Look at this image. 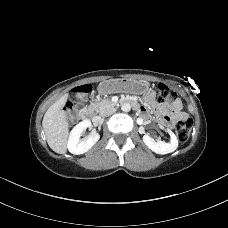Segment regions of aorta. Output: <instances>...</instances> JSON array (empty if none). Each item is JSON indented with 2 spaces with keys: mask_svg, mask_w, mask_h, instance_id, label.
<instances>
[{
  "mask_svg": "<svg viewBox=\"0 0 228 228\" xmlns=\"http://www.w3.org/2000/svg\"><path fill=\"white\" fill-rule=\"evenodd\" d=\"M121 110L123 112H129L131 110V105L129 103H124L122 106H121Z\"/></svg>",
  "mask_w": 228,
  "mask_h": 228,
  "instance_id": "obj_1",
  "label": "aorta"
}]
</instances>
